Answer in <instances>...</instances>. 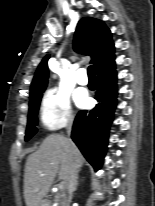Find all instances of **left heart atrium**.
Listing matches in <instances>:
<instances>
[{
	"instance_id": "39dd6f15",
	"label": "left heart atrium",
	"mask_w": 155,
	"mask_h": 206,
	"mask_svg": "<svg viewBox=\"0 0 155 206\" xmlns=\"http://www.w3.org/2000/svg\"><path fill=\"white\" fill-rule=\"evenodd\" d=\"M75 99L79 106H85L88 103V98L84 93H78Z\"/></svg>"
}]
</instances>
